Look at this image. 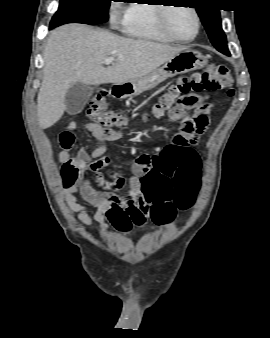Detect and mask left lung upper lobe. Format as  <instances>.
I'll list each match as a JSON object with an SVG mask.
<instances>
[{
    "instance_id": "5c2ea615",
    "label": "left lung upper lobe",
    "mask_w": 270,
    "mask_h": 338,
    "mask_svg": "<svg viewBox=\"0 0 270 338\" xmlns=\"http://www.w3.org/2000/svg\"><path fill=\"white\" fill-rule=\"evenodd\" d=\"M196 8L213 46L223 54H229L227 39L222 30L220 12L216 0H199Z\"/></svg>"
}]
</instances>
